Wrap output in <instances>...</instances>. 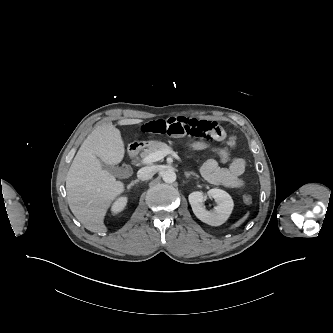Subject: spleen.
Returning <instances> with one entry per match:
<instances>
[{
	"instance_id": "obj_1",
	"label": "spleen",
	"mask_w": 333,
	"mask_h": 333,
	"mask_svg": "<svg viewBox=\"0 0 333 333\" xmlns=\"http://www.w3.org/2000/svg\"><path fill=\"white\" fill-rule=\"evenodd\" d=\"M250 216V213L247 212L242 218H240L236 223H234L233 225L230 226L229 229H235L239 226H241Z\"/></svg>"
}]
</instances>
